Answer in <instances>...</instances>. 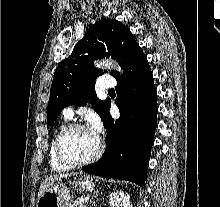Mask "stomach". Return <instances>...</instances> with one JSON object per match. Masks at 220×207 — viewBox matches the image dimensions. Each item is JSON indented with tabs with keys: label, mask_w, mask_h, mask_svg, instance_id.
Listing matches in <instances>:
<instances>
[{
	"label": "stomach",
	"mask_w": 220,
	"mask_h": 207,
	"mask_svg": "<svg viewBox=\"0 0 220 207\" xmlns=\"http://www.w3.org/2000/svg\"><path fill=\"white\" fill-rule=\"evenodd\" d=\"M94 178L84 175L74 183L77 190L92 191L95 186ZM71 199L70 190L65 183L54 182L48 190L38 199L37 207H65Z\"/></svg>",
	"instance_id": "stomach-1"
}]
</instances>
